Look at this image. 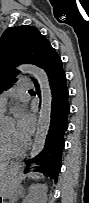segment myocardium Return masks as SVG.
Listing matches in <instances>:
<instances>
[{
	"mask_svg": "<svg viewBox=\"0 0 89 203\" xmlns=\"http://www.w3.org/2000/svg\"><path fill=\"white\" fill-rule=\"evenodd\" d=\"M0 141H1V148H2V152L8 157V158H16L19 156H22L27 147H28V143L25 144V146L17 151H12L8 148L7 142L4 138L3 135V129L0 130Z\"/></svg>",
	"mask_w": 89,
	"mask_h": 203,
	"instance_id": "myocardium-1",
	"label": "myocardium"
}]
</instances>
